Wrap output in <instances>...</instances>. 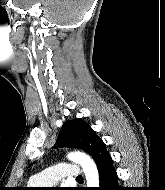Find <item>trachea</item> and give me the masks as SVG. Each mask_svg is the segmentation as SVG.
Segmentation results:
<instances>
[{
    "mask_svg": "<svg viewBox=\"0 0 165 190\" xmlns=\"http://www.w3.org/2000/svg\"><path fill=\"white\" fill-rule=\"evenodd\" d=\"M77 179H82V177H81V176H79Z\"/></svg>",
    "mask_w": 165,
    "mask_h": 190,
    "instance_id": "1",
    "label": "trachea"
}]
</instances>
